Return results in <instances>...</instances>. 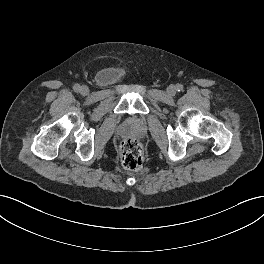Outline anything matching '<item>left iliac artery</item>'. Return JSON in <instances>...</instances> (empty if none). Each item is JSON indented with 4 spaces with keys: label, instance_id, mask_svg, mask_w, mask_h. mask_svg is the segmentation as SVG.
I'll list each match as a JSON object with an SVG mask.
<instances>
[{
    "label": "left iliac artery",
    "instance_id": "1",
    "mask_svg": "<svg viewBox=\"0 0 264 264\" xmlns=\"http://www.w3.org/2000/svg\"><path fill=\"white\" fill-rule=\"evenodd\" d=\"M176 90H177V91H182V90H183V85H181V84H177V85H176Z\"/></svg>",
    "mask_w": 264,
    "mask_h": 264
}]
</instances>
